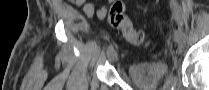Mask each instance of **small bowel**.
<instances>
[{"instance_id":"1","label":"small bowel","mask_w":209,"mask_h":90,"mask_svg":"<svg viewBox=\"0 0 209 90\" xmlns=\"http://www.w3.org/2000/svg\"><path fill=\"white\" fill-rule=\"evenodd\" d=\"M83 10L87 16L92 17L94 15L95 6L92 2H88L84 5ZM96 16L98 19H104L107 16V8L102 7L99 10H97Z\"/></svg>"}]
</instances>
